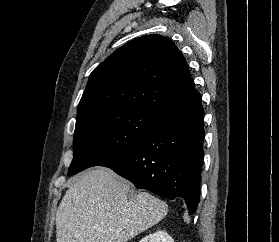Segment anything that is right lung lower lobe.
<instances>
[{
    "mask_svg": "<svg viewBox=\"0 0 279 242\" xmlns=\"http://www.w3.org/2000/svg\"><path fill=\"white\" fill-rule=\"evenodd\" d=\"M203 119L201 96L166 108L147 136L100 166L111 168L137 188L170 200L182 197L189 214L195 213L204 155Z\"/></svg>",
    "mask_w": 279,
    "mask_h": 242,
    "instance_id": "1",
    "label": "right lung lower lobe"
}]
</instances>
